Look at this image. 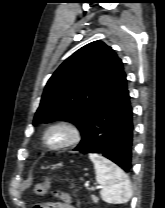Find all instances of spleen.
<instances>
[{"label": "spleen", "mask_w": 165, "mask_h": 208, "mask_svg": "<svg viewBox=\"0 0 165 208\" xmlns=\"http://www.w3.org/2000/svg\"><path fill=\"white\" fill-rule=\"evenodd\" d=\"M96 181L102 186L101 198L107 203H127L132 197L131 183L123 170L102 155L92 153Z\"/></svg>", "instance_id": "3e777b00"}]
</instances>
